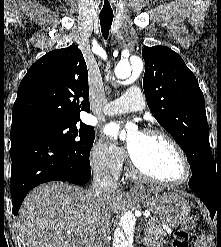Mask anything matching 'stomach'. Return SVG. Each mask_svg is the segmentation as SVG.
I'll use <instances>...</instances> for the list:
<instances>
[{
    "label": "stomach",
    "mask_w": 221,
    "mask_h": 247,
    "mask_svg": "<svg viewBox=\"0 0 221 247\" xmlns=\"http://www.w3.org/2000/svg\"><path fill=\"white\" fill-rule=\"evenodd\" d=\"M133 197L153 212L159 221L170 227L182 224L191 211L188 202L176 193H164L161 196L139 193Z\"/></svg>",
    "instance_id": "obj_1"
}]
</instances>
